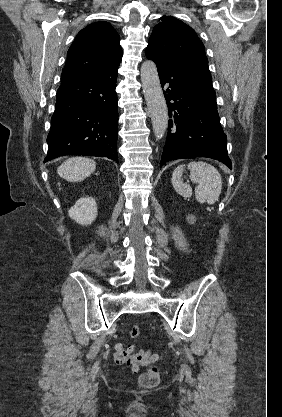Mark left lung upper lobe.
<instances>
[{"label":"left lung upper lobe","instance_id":"obj_1","mask_svg":"<svg viewBox=\"0 0 282 417\" xmlns=\"http://www.w3.org/2000/svg\"><path fill=\"white\" fill-rule=\"evenodd\" d=\"M160 20L149 39V48L171 59L180 57L208 62L204 45L191 27L173 16H163Z\"/></svg>","mask_w":282,"mask_h":417}]
</instances>
